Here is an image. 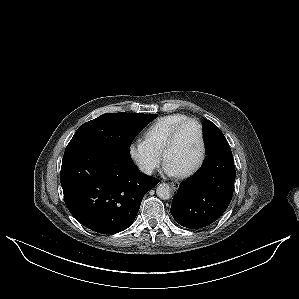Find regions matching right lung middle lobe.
I'll use <instances>...</instances> for the list:
<instances>
[{
    "label": "right lung middle lobe",
    "instance_id": "right-lung-middle-lobe-1",
    "mask_svg": "<svg viewBox=\"0 0 299 299\" xmlns=\"http://www.w3.org/2000/svg\"><path fill=\"white\" fill-rule=\"evenodd\" d=\"M156 117L125 112L103 114L81 125L66 150L74 146H91L130 157L133 139Z\"/></svg>",
    "mask_w": 299,
    "mask_h": 299
}]
</instances>
